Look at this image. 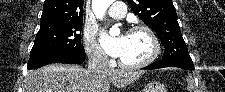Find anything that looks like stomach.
I'll use <instances>...</instances> for the list:
<instances>
[{"label": "stomach", "mask_w": 225, "mask_h": 92, "mask_svg": "<svg viewBox=\"0 0 225 92\" xmlns=\"http://www.w3.org/2000/svg\"><path fill=\"white\" fill-rule=\"evenodd\" d=\"M142 92H166V89L159 82H151L144 87Z\"/></svg>", "instance_id": "obj_1"}]
</instances>
